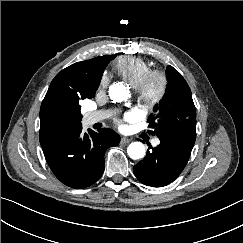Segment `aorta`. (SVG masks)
I'll use <instances>...</instances> for the list:
<instances>
[{"mask_svg":"<svg viewBox=\"0 0 243 243\" xmlns=\"http://www.w3.org/2000/svg\"><path fill=\"white\" fill-rule=\"evenodd\" d=\"M109 96L115 102H122L128 99L129 91L124 85L116 83L109 87ZM127 153L131 159H140L145 156V147L141 142H132Z\"/></svg>","mask_w":243,"mask_h":243,"instance_id":"obj_1","label":"aorta"}]
</instances>
